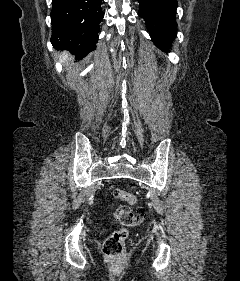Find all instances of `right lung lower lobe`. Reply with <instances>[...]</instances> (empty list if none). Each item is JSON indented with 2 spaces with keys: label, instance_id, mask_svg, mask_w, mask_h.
<instances>
[{
  "label": "right lung lower lobe",
  "instance_id": "98d812e1",
  "mask_svg": "<svg viewBox=\"0 0 240 281\" xmlns=\"http://www.w3.org/2000/svg\"><path fill=\"white\" fill-rule=\"evenodd\" d=\"M102 0H53L51 11L54 47L84 57L96 49Z\"/></svg>",
  "mask_w": 240,
  "mask_h": 281
}]
</instances>
